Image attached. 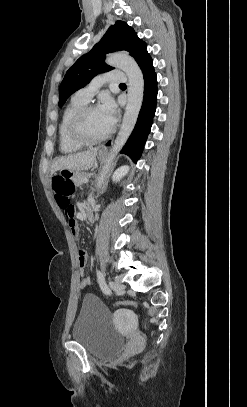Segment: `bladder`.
Instances as JSON below:
<instances>
[{"label": "bladder", "instance_id": "31cf9c89", "mask_svg": "<svg viewBox=\"0 0 247 407\" xmlns=\"http://www.w3.org/2000/svg\"><path fill=\"white\" fill-rule=\"evenodd\" d=\"M112 312L94 295H86L72 330L73 341L97 358L115 356L125 344V336L112 322Z\"/></svg>", "mask_w": 247, "mask_h": 407}]
</instances>
